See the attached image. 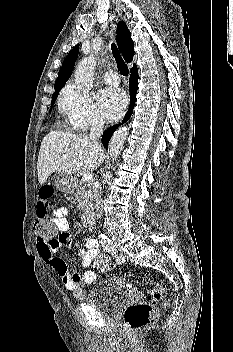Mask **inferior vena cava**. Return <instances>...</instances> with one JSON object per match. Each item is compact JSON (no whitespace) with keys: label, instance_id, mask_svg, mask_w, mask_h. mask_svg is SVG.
<instances>
[{"label":"inferior vena cava","instance_id":"obj_1","mask_svg":"<svg viewBox=\"0 0 233 352\" xmlns=\"http://www.w3.org/2000/svg\"><path fill=\"white\" fill-rule=\"evenodd\" d=\"M103 128H104L103 119L98 116H94L91 123L89 139L93 142H96L101 137ZM93 192L95 197L97 217L100 218L101 215H100V198H99V192H98V181H96V185L94 187Z\"/></svg>","mask_w":233,"mask_h":352}]
</instances>
